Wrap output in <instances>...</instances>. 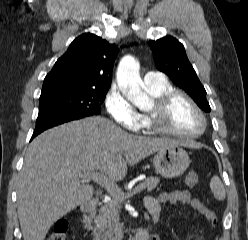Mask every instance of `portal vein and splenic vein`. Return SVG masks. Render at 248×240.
Instances as JSON below:
<instances>
[{"label":"portal vein and splenic vein","mask_w":248,"mask_h":240,"mask_svg":"<svg viewBox=\"0 0 248 240\" xmlns=\"http://www.w3.org/2000/svg\"><path fill=\"white\" fill-rule=\"evenodd\" d=\"M83 173L87 175L89 179H93L97 183L102 185L111 196L122 194L125 197H130V196H133L134 194L141 192L144 189V186L141 183L137 185L132 190V192L124 195V193L121 192V189L118 187V185L112 179L108 178L104 173L97 172V171H83Z\"/></svg>","instance_id":"1"}]
</instances>
